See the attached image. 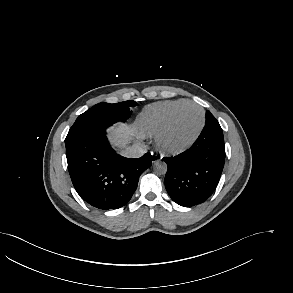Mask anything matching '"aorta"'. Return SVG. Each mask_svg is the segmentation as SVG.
<instances>
[{"label":"aorta","mask_w":293,"mask_h":293,"mask_svg":"<svg viewBox=\"0 0 293 293\" xmlns=\"http://www.w3.org/2000/svg\"><path fill=\"white\" fill-rule=\"evenodd\" d=\"M153 168L154 171L160 175H163L167 172V164L162 161H156Z\"/></svg>","instance_id":"762f6f07"}]
</instances>
